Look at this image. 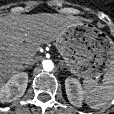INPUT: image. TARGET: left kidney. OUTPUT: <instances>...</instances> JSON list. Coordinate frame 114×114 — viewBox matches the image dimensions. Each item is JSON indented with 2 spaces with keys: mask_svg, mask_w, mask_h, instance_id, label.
<instances>
[{
  "mask_svg": "<svg viewBox=\"0 0 114 114\" xmlns=\"http://www.w3.org/2000/svg\"><path fill=\"white\" fill-rule=\"evenodd\" d=\"M65 89L70 103L76 107H81L84 96L80 82L75 78L68 77L65 79Z\"/></svg>",
  "mask_w": 114,
  "mask_h": 114,
  "instance_id": "5707ae66",
  "label": "left kidney"
}]
</instances>
